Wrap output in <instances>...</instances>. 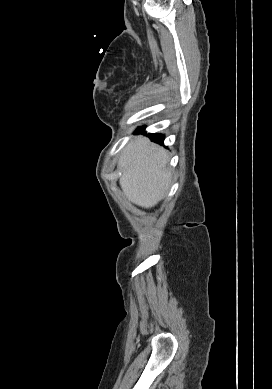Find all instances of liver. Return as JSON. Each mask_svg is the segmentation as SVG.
<instances>
[{
	"label": "liver",
	"mask_w": 272,
	"mask_h": 389,
	"mask_svg": "<svg viewBox=\"0 0 272 389\" xmlns=\"http://www.w3.org/2000/svg\"><path fill=\"white\" fill-rule=\"evenodd\" d=\"M165 149L146 137H137L122 151L118 167L120 186L126 198L143 208L154 207L167 192L171 171Z\"/></svg>",
	"instance_id": "obj_1"
}]
</instances>
